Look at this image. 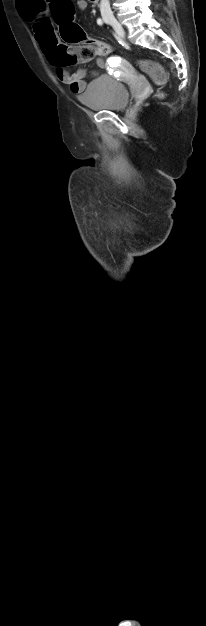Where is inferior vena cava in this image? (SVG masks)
Listing matches in <instances>:
<instances>
[{"label":"inferior vena cava","mask_w":206,"mask_h":626,"mask_svg":"<svg viewBox=\"0 0 206 626\" xmlns=\"http://www.w3.org/2000/svg\"><path fill=\"white\" fill-rule=\"evenodd\" d=\"M100 11L102 16H113V13L110 8L109 0H101L100 2Z\"/></svg>","instance_id":"inferior-vena-cava-1"}]
</instances>
